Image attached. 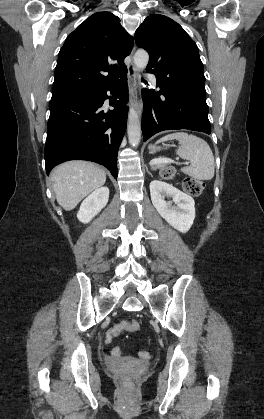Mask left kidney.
Here are the masks:
<instances>
[{"instance_id": "obj_1", "label": "left kidney", "mask_w": 264, "mask_h": 419, "mask_svg": "<svg viewBox=\"0 0 264 419\" xmlns=\"http://www.w3.org/2000/svg\"><path fill=\"white\" fill-rule=\"evenodd\" d=\"M149 188L152 204L161 217L176 230L186 233L195 219L193 198L160 180H153ZM166 197L172 198V201H166Z\"/></svg>"}]
</instances>
